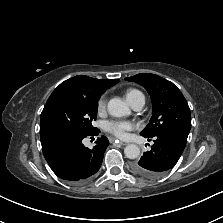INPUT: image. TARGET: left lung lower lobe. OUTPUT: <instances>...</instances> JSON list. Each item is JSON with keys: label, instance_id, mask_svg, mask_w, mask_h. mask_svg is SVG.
Masks as SVG:
<instances>
[{"label": "left lung lower lobe", "instance_id": "0a47b994", "mask_svg": "<svg viewBox=\"0 0 223 223\" xmlns=\"http://www.w3.org/2000/svg\"><path fill=\"white\" fill-rule=\"evenodd\" d=\"M153 141L151 150L132 165L133 171L145 178L159 177L173 168L186 146L187 136L168 131L153 137Z\"/></svg>", "mask_w": 223, "mask_h": 223}]
</instances>
